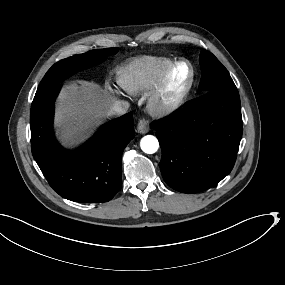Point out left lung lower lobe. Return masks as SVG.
Returning a JSON list of instances; mask_svg holds the SVG:
<instances>
[{
    "instance_id": "0a47b994",
    "label": "left lung lower lobe",
    "mask_w": 285,
    "mask_h": 285,
    "mask_svg": "<svg viewBox=\"0 0 285 285\" xmlns=\"http://www.w3.org/2000/svg\"><path fill=\"white\" fill-rule=\"evenodd\" d=\"M152 126L166 184L182 193L205 191L226 177L236 161L242 137L237 88L208 91Z\"/></svg>"
}]
</instances>
